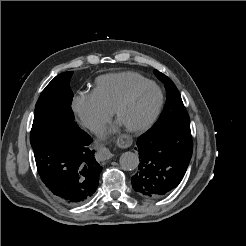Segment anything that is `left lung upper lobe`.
<instances>
[{
	"label": "left lung upper lobe",
	"instance_id": "5c2ea615",
	"mask_svg": "<svg viewBox=\"0 0 246 246\" xmlns=\"http://www.w3.org/2000/svg\"><path fill=\"white\" fill-rule=\"evenodd\" d=\"M154 74L165 84L167 101L159 119L149 131L172 127H190L188 113L175 84L158 70H154Z\"/></svg>",
	"mask_w": 246,
	"mask_h": 246
}]
</instances>
